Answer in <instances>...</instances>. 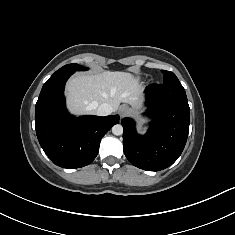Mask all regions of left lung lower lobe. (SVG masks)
I'll use <instances>...</instances> for the list:
<instances>
[{"label":"left lung lower lobe","instance_id":"obj_1","mask_svg":"<svg viewBox=\"0 0 235 235\" xmlns=\"http://www.w3.org/2000/svg\"><path fill=\"white\" fill-rule=\"evenodd\" d=\"M145 93L147 113L152 117L150 128L139 135L132 119H122L124 153L134 166L159 171L172 165L185 147L190 108L181 84H153Z\"/></svg>","mask_w":235,"mask_h":235}]
</instances>
